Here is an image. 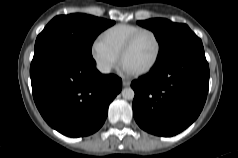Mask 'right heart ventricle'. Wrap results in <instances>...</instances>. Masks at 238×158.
<instances>
[{
	"label": "right heart ventricle",
	"mask_w": 238,
	"mask_h": 158,
	"mask_svg": "<svg viewBox=\"0 0 238 158\" xmlns=\"http://www.w3.org/2000/svg\"><path fill=\"white\" fill-rule=\"evenodd\" d=\"M144 28L131 24H117L106 29L102 35L101 40L115 53L120 55L123 47L136 32Z\"/></svg>",
	"instance_id": "1"
}]
</instances>
